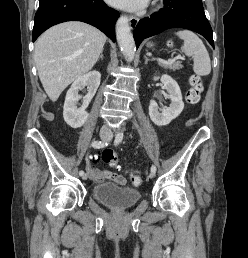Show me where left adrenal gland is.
<instances>
[{"label": "left adrenal gland", "instance_id": "a2214340", "mask_svg": "<svg viewBox=\"0 0 248 258\" xmlns=\"http://www.w3.org/2000/svg\"><path fill=\"white\" fill-rule=\"evenodd\" d=\"M148 61H150V59H148V57H147V56H145V64H147V63H148Z\"/></svg>", "mask_w": 248, "mask_h": 258}]
</instances>
